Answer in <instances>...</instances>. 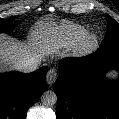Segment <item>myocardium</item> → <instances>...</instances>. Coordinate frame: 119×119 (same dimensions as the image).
<instances>
[{"instance_id":"f54148a6","label":"myocardium","mask_w":119,"mask_h":119,"mask_svg":"<svg viewBox=\"0 0 119 119\" xmlns=\"http://www.w3.org/2000/svg\"><path fill=\"white\" fill-rule=\"evenodd\" d=\"M99 40L95 33H86L76 43L74 47V54L76 56H86L98 47Z\"/></svg>"}]
</instances>
